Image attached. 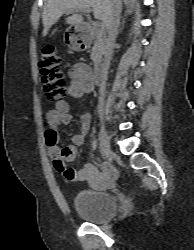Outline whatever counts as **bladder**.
Returning <instances> with one entry per match:
<instances>
[{"mask_svg":"<svg viewBox=\"0 0 194 250\" xmlns=\"http://www.w3.org/2000/svg\"><path fill=\"white\" fill-rule=\"evenodd\" d=\"M75 212L91 223H102L112 218L117 210L113 196L108 192L87 189L73 199Z\"/></svg>","mask_w":194,"mask_h":250,"instance_id":"bladder-1","label":"bladder"}]
</instances>
